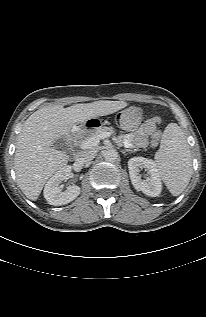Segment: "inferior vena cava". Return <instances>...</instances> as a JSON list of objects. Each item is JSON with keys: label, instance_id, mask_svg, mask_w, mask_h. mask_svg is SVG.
Instances as JSON below:
<instances>
[{"label": "inferior vena cava", "instance_id": "obj_1", "mask_svg": "<svg viewBox=\"0 0 206 317\" xmlns=\"http://www.w3.org/2000/svg\"><path fill=\"white\" fill-rule=\"evenodd\" d=\"M95 157V152L93 151H81L76 155V161L80 164L88 163Z\"/></svg>", "mask_w": 206, "mask_h": 317}]
</instances>
